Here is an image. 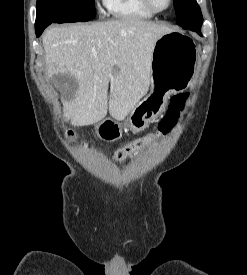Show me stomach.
I'll return each mask as SVG.
<instances>
[{"label":"stomach","instance_id":"0dacf381","mask_svg":"<svg viewBox=\"0 0 247 275\" xmlns=\"http://www.w3.org/2000/svg\"><path fill=\"white\" fill-rule=\"evenodd\" d=\"M193 40L178 32L161 35L151 58L150 92L130 112L126 125L134 131L145 129L165 109L169 96L187 89L196 72ZM98 137L111 142L121 137L120 125L106 120L96 126Z\"/></svg>","mask_w":247,"mask_h":275}]
</instances>
